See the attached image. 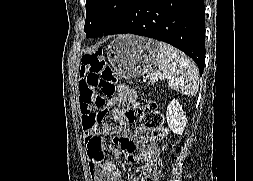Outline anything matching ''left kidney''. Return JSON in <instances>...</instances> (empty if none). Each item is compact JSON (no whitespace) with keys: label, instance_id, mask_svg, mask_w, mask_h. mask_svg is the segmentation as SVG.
Returning a JSON list of instances; mask_svg holds the SVG:
<instances>
[{"label":"left kidney","instance_id":"1","mask_svg":"<svg viewBox=\"0 0 253 181\" xmlns=\"http://www.w3.org/2000/svg\"><path fill=\"white\" fill-rule=\"evenodd\" d=\"M166 119L168 127L172 132L182 135L187 125V118L184 115L182 106L177 100L173 99L167 106Z\"/></svg>","mask_w":253,"mask_h":181}]
</instances>
